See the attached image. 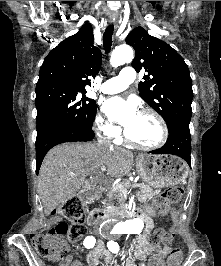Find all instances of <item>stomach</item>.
Instances as JSON below:
<instances>
[{"mask_svg": "<svg viewBox=\"0 0 221 266\" xmlns=\"http://www.w3.org/2000/svg\"><path fill=\"white\" fill-rule=\"evenodd\" d=\"M136 168L144 181L155 188L181 184L189 172L186 163L171 155L141 154L137 157Z\"/></svg>", "mask_w": 221, "mask_h": 266, "instance_id": "obj_1", "label": "stomach"}]
</instances>
